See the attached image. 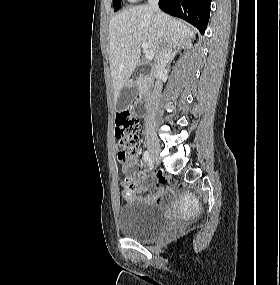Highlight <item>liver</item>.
Listing matches in <instances>:
<instances>
[{"label": "liver", "mask_w": 280, "mask_h": 285, "mask_svg": "<svg viewBox=\"0 0 280 285\" xmlns=\"http://www.w3.org/2000/svg\"><path fill=\"white\" fill-rule=\"evenodd\" d=\"M161 16L167 35L166 42L171 50L185 44L189 36H194V30L184 22L165 13H161ZM161 28L149 5L130 7L110 19L109 61L115 102L138 65L143 42L148 43L149 50L156 58L160 46Z\"/></svg>", "instance_id": "obj_1"}]
</instances>
